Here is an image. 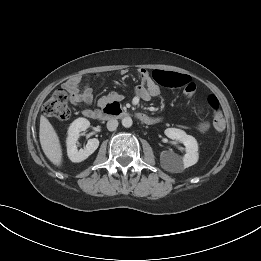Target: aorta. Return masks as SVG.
I'll use <instances>...</instances> for the list:
<instances>
[{
	"label": "aorta",
	"instance_id": "aorta-1",
	"mask_svg": "<svg viewBox=\"0 0 261 261\" xmlns=\"http://www.w3.org/2000/svg\"><path fill=\"white\" fill-rule=\"evenodd\" d=\"M132 124H133V121H132L131 117H125V118L122 119V125L125 128L131 127Z\"/></svg>",
	"mask_w": 261,
	"mask_h": 261
}]
</instances>
